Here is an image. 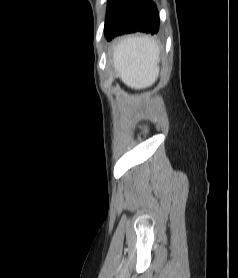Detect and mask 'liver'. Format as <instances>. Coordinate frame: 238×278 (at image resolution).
<instances>
[{"mask_svg":"<svg viewBox=\"0 0 238 278\" xmlns=\"http://www.w3.org/2000/svg\"><path fill=\"white\" fill-rule=\"evenodd\" d=\"M159 53V45L152 37L121 39L113 49L116 76L132 89L150 87L159 75Z\"/></svg>","mask_w":238,"mask_h":278,"instance_id":"liver-1","label":"liver"}]
</instances>
